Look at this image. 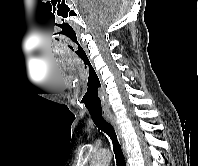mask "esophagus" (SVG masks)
<instances>
[{"label":"esophagus","instance_id":"34e87169","mask_svg":"<svg viewBox=\"0 0 198 166\" xmlns=\"http://www.w3.org/2000/svg\"><path fill=\"white\" fill-rule=\"evenodd\" d=\"M104 118L114 127V129L116 130L117 132V135L120 139V142H121V146H122V149L125 150V141H124V138L122 136V132H121V129L119 127V124L117 122V119L116 117L113 115V114H105L104 115Z\"/></svg>","mask_w":198,"mask_h":166}]
</instances>
